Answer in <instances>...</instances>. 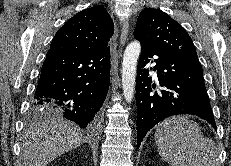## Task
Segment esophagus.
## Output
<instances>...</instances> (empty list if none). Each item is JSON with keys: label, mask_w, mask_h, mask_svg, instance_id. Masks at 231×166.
Instances as JSON below:
<instances>
[{"label": "esophagus", "mask_w": 231, "mask_h": 166, "mask_svg": "<svg viewBox=\"0 0 231 166\" xmlns=\"http://www.w3.org/2000/svg\"><path fill=\"white\" fill-rule=\"evenodd\" d=\"M128 28H129V22L128 19H126L125 24L123 26L121 36H120V45L124 46L126 40H127V35H128Z\"/></svg>", "instance_id": "34e87169"}]
</instances>
